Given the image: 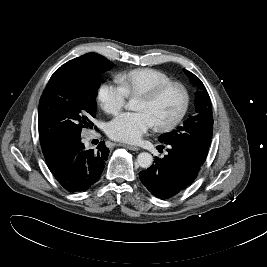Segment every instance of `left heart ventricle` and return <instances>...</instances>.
Returning a JSON list of instances; mask_svg holds the SVG:
<instances>
[{
    "label": "left heart ventricle",
    "instance_id": "b2bd125f",
    "mask_svg": "<svg viewBox=\"0 0 267 267\" xmlns=\"http://www.w3.org/2000/svg\"><path fill=\"white\" fill-rule=\"evenodd\" d=\"M184 97L179 88H170L154 102L136 100L134 109L146 114L152 126L173 120L183 105Z\"/></svg>",
    "mask_w": 267,
    "mask_h": 267
}]
</instances>
